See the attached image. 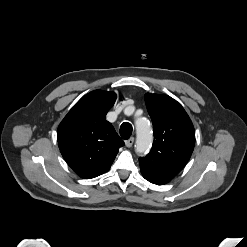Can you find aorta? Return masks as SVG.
I'll return each mask as SVG.
<instances>
[{"label":"aorta","instance_id":"obj_1","mask_svg":"<svg viewBox=\"0 0 247 247\" xmlns=\"http://www.w3.org/2000/svg\"><path fill=\"white\" fill-rule=\"evenodd\" d=\"M135 126L137 133L136 151L138 153H145L153 140L150 122L146 118H138L135 121Z\"/></svg>","mask_w":247,"mask_h":247}]
</instances>
